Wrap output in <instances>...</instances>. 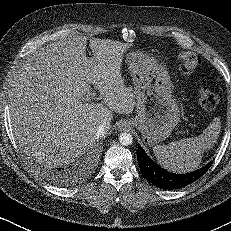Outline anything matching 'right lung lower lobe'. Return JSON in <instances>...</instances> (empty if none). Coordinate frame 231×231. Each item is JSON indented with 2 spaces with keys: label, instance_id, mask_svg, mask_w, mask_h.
<instances>
[{
  "label": "right lung lower lobe",
  "instance_id": "1",
  "mask_svg": "<svg viewBox=\"0 0 231 231\" xmlns=\"http://www.w3.org/2000/svg\"><path fill=\"white\" fill-rule=\"evenodd\" d=\"M93 156L87 157L82 163L68 169L44 170L43 176L58 185H72L76 183L83 170L92 164Z\"/></svg>",
  "mask_w": 231,
  "mask_h": 231
}]
</instances>
